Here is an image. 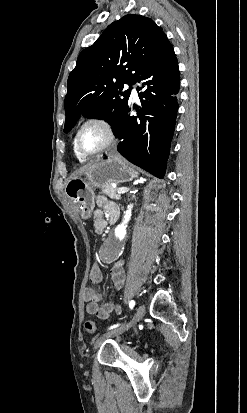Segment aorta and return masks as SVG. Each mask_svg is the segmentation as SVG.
Wrapping results in <instances>:
<instances>
[{"instance_id":"1","label":"aorta","mask_w":247,"mask_h":413,"mask_svg":"<svg viewBox=\"0 0 247 413\" xmlns=\"http://www.w3.org/2000/svg\"><path fill=\"white\" fill-rule=\"evenodd\" d=\"M132 208H133V205H132V204H131V205H128L127 210H126V212H125V216H124V219H123L122 224L119 225V226L116 228V233H117V235H119L120 237H123V236L125 235V233H126V230H125V229H126V226H127L128 221L130 220Z\"/></svg>"}]
</instances>
